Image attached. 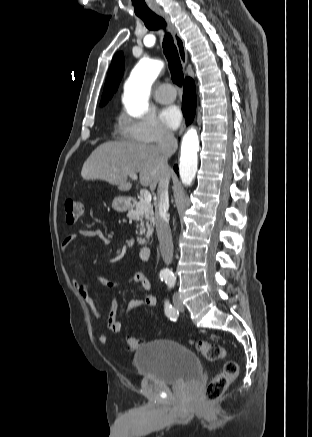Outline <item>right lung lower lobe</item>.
Returning a JSON list of instances; mask_svg holds the SVG:
<instances>
[{
	"instance_id": "98d812e1",
	"label": "right lung lower lobe",
	"mask_w": 312,
	"mask_h": 437,
	"mask_svg": "<svg viewBox=\"0 0 312 437\" xmlns=\"http://www.w3.org/2000/svg\"><path fill=\"white\" fill-rule=\"evenodd\" d=\"M196 110V89L194 81L191 78H186L184 81V95H183V108L182 111L186 117L187 124L191 123ZM174 170L177 172L178 166H174Z\"/></svg>"
}]
</instances>
